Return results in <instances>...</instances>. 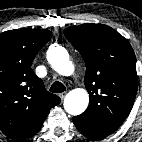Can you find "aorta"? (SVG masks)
I'll list each match as a JSON object with an SVG mask.
<instances>
[{
    "label": "aorta",
    "instance_id": "obj_1",
    "mask_svg": "<svg viewBox=\"0 0 142 142\" xmlns=\"http://www.w3.org/2000/svg\"><path fill=\"white\" fill-rule=\"evenodd\" d=\"M47 60L52 68L63 76H70L74 72V65L69 59L67 50L59 45H52L47 52ZM89 104V95L85 89H74L64 99V109L70 115L83 113Z\"/></svg>",
    "mask_w": 142,
    "mask_h": 142
}]
</instances>
